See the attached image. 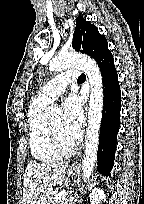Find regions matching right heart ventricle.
Returning <instances> with one entry per match:
<instances>
[{"label":"right heart ventricle","instance_id":"obj_1","mask_svg":"<svg viewBox=\"0 0 144 204\" xmlns=\"http://www.w3.org/2000/svg\"><path fill=\"white\" fill-rule=\"evenodd\" d=\"M46 104L35 100L28 112L29 148L32 156L40 162H54L60 158L48 132V122L43 111Z\"/></svg>","mask_w":144,"mask_h":204}]
</instances>
